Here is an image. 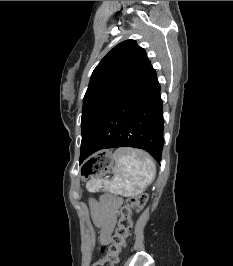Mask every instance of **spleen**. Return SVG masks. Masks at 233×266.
I'll return each mask as SVG.
<instances>
[{
	"mask_svg": "<svg viewBox=\"0 0 233 266\" xmlns=\"http://www.w3.org/2000/svg\"><path fill=\"white\" fill-rule=\"evenodd\" d=\"M115 161L114 179L105 182L99 179L90 180L86 187L90 192L99 191L104 182V191L134 196L142 193L154 180L156 167L151 158L141 152L129 148L117 149L112 155Z\"/></svg>",
	"mask_w": 233,
	"mask_h": 266,
	"instance_id": "obj_1",
	"label": "spleen"
}]
</instances>
